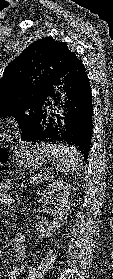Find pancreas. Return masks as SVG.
<instances>
[{
	"instance_id": "obj_1",
	"label": "pancreas",
	"mask_w": 113,
	"mask_h": 279,
	"mask_svg": "<svg viewBox=\"0 0 113 279\" xmlns=\"http://www.w3.org/2000/svg\"><path fill=\"white\" fill-rule=\"evenodd\" d=\"M46 180H47V177H45V175H41V174L37 175V174H35L34 176H32L30 178V183L33 184V185H37V184H40V183H42V182H44Z\"/></svg>"
}]
</instances>
